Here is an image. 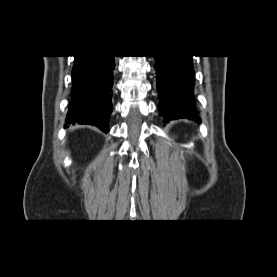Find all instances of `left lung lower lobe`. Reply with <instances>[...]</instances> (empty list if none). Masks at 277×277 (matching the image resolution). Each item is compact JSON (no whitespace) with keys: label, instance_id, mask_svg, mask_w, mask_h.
Returning <instances> with one entry per match:
<instances>
[{"label":"left lung lower lobe","instance_id":"obj_1","mask_svg":"<svg viewBox=\"0 0 277 277\" xmlns=\"http://www.w3.org/2000/svg\"><path fill=\"white\" fill-rule=\"evenodd\" d=\"M159 111L166 122L187 118L200 122L195 108L193 83L195 73L192 56H156Z\"/></svg>","mask_w":277,"mask_h":277}]
</instances>
